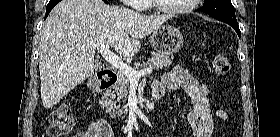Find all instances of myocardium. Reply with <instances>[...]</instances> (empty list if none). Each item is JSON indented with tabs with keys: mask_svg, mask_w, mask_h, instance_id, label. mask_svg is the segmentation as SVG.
I'll return each instance as SVG.
<instances>
[{
	"mask_svg": "<svg viewBox=\"0 0 280 137\" xmlns=\"http://www.w3.org/2000/svg\"><path fill=\"white\" fill-rule=\"evenodd\" d=\"M150 2L153 3L154 7L162 12L168 13V14H185L195 8V5L199 0H188V4L185 6L177 7V8H167L161 4H159L158 0H150Z\"/></svg>",
	"mask_w": 280,
	"mask_h": 137,
	"instance_id": "myocardium-1",
	"label": "myocardium"
}]
</instances>
